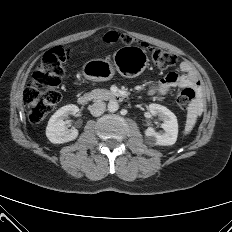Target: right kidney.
<instances>
[{
    "label": "right kidney",
    "mask_w": 232,
    "mask_h": 232,
    "mask_svg": "<svg viewBox=\"0 0 232 232\" xmlns=\"http://www.w3.org/2000/svg\"><path fill=\"white\" fill-rule=\"evenodd\" d=\"M78 112V106L69 104L61 107L51 116L46 127V136L51 143L61 144L77 138L78 130L75 128L68 130L64 119L68 115H76Z\"/></svg>",
    "instance_id": "ca27d5eb"
}]
</instances>
